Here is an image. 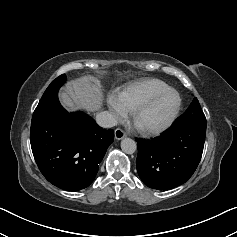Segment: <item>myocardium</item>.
Returning <instances> with one entry per match:
<instances>
[{
    "label": "myocardium",
    "mask_w": 237,
    "mask_h": 237,
    "mask_svg": "<svg viewBox=\"0 0 237 237\" xmlns=\"http://www.w3.org/2000/svg\"><path fill=\"white\" fill-rule=\"evenodd\" d=\"M174 94L177 98V103L172 110V112L169 114V116L160 124L158 125H145L140 122L141 115L150 108L157 100L160 98L169 95ZM182 107V97L179 94L178 91H176L173 88H168L166 90L160 91L158 93H155L148 98L141 101L132 111V123L135 126V128L143 133V134H158L166 129H168L176 120L180 110Z\"/></svg>",
    "instance_id": "obj_1"
}]
</instances>
